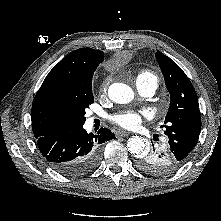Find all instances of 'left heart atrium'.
<instances>
[{
	"mask_svg": "<svg viewBox=\"0 0 221 221\" xmlns=\"http://www.w3.org/2000/svg\"><path fill=\"white\" fill-rule=\"evenodd\" d=\"M111 120L123 128L133 129L139 125L141 118L137 112L125 111L113 115Z\"/></svg>",
	"mask_w": 221,
	"mask_h": 221,
	"instance_id": "left-heart-atrium-1",
	"label": "left heart atrium"
}]
</instances>
